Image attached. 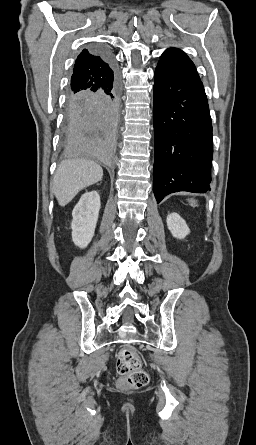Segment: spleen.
<instances>
[{
    "label": "spleen",
    "instance_id": "obj_1",
    "mask_svg": "<svg viewBox=\"0 0 256 445\" xmlns=\"http://www.w3.org/2000/svg\"><path fill=\"white\" fill-rule=\"evenodd\" d=\"M190 202H191V205H192V206H195V205H196V202H195L194 200L191 199Z\"/></svg>",
    "mask_w": 256,
    "mask_h": 445
}]
</instances>
